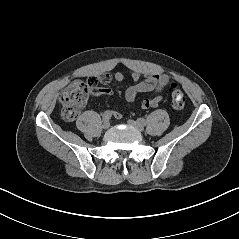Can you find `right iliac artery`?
I'll use <instances>...</instances> for the list:
<instances>
[{
	"label": "right iliac artery",
	"mask_w": 239,
	"mask_h": 239,
	"mask_svg": "<svg viewBox=\"0 0 239 239\" xmlns=\"http://www.w3.org/2000/svg\"><path fill=\"white\" fill-rule=\"evenodd\" d=\"M112 117V112L111 111H105L102 115L103 120H109Z\"/></svg>",
	"instance_id": "obj_1"
}]
</instances>
